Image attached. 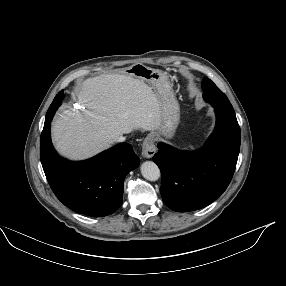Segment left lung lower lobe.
<instances>
[{
  "label": "left lung lower lobe",
  "instance_id": "1",
  "mask_svg": "<svg viewBox=\"0 0 286 286\" xmlns=\"http://www.w3.org/2000/svg\"><path fill=\"white\" fill-rule=\"evenodd\" d=\"M216 126L199 151H180L158 144L153 160L162 175L160 192L164 203L177 212L201 209L227 188L240 150V127L235 112L212 104Z\"/></svg>",
  "mask_w": 286,
  "mask_h": 286
}]
</instances>
